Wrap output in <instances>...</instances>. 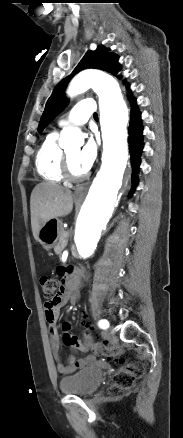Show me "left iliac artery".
<instances>
[{"label":"left iliac artery","instance_id":"obj_1","mask_svg":"<svg viewBox=\"0 0 183 438\" xmlns=\"http://www.w3.org/2000/svg\"><path fill=\"white\" fill-rule=\"evenodd\" d=\"M98 326H99L101 329H107V328L109 327V322H108L107 320H105V319H102V320H100V321L98 322Z\"/></svg>","mask_w":183,"mask_h":438}]
</instances>
